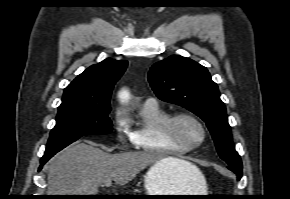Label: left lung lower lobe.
I'll return each mask as SVG.
<instances>
[{
    "label": "left lung lower lobe",
    "mask_w": 290,
    "mask_h": 199,
    "mask_svg": "<svg viewBox=\"0 0 290 199\" xmlns=\"http://www.w3.org/2000/svg\"><path fill=\"white\" fill-rule=\"evenodd\" d=\"M228 169L233 171L237 175L238 180H240L242 177V166L228 165Z\"/></svg>",
    "instance_id": "obj_1"
}]
</instances>
